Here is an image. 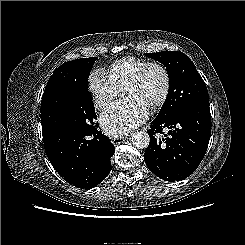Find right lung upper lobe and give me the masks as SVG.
<instances>
[{"label":"right lung upper lobe","instance_id":"right-lung-upper-lobe-1","mask_svg":"<svg viewBox=\"0 0 245 245\" xmlns=\"http://www.w3.org/2000/svg\"><path fill=\"white\" fill-rule=\"evenodd\" d=\"M58 79V72L55 70L53 75L49 78L47 86L45 88L42 102H41V112H45L49 107H51L54 103L52 87Z\"/></svg>","mask_w":245,"mask_h":245}]
</instances>
